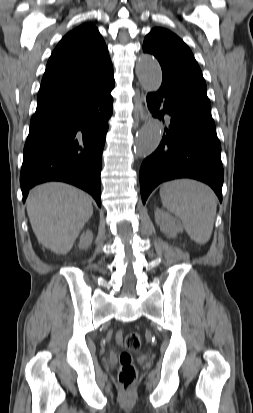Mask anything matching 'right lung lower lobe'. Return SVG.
Segmentation results:
<instances>
[{
    "label": "right lung lower lobe",
    "instance_id": "right-lung-lower-lobe-1",
    "mask_svg": "<svg viewBox=\"0 0 253 413\" xmlns=\"http://www.w3.org/2000/svg\"><path fill=\"white\" fill-rule=\"evenodd\" d=\"M113 74L90 97L74 101L30 128L20 175L23 201L29 189L63 181L88 193L101 206L102 152L112 115Z\"/></svg>",
    "mask_w": 253,
    "mask_h": 413
}]
</instances>
